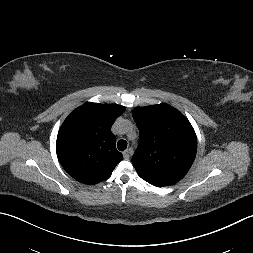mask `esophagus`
Returning a JSON list of instances; mask_svg holds the SVG:
<instances>
[{
	"label": "esophagus",
	"mask_w": 253,
	"mask_h": 253,
	"mask_svg": "<svg viewBox=\"0 0 253 253\" xmlns=\"http://www.w3.org/2000/svg\"><path fill=\"white\" fill-rule=\"evenodd\" d=\"M132 153V150L131 149H127L123 152V157L124 159L128 160L130 158V155Z\"/></svg>",
	"instance_id": "esophagus-1"
}]
</instances>
